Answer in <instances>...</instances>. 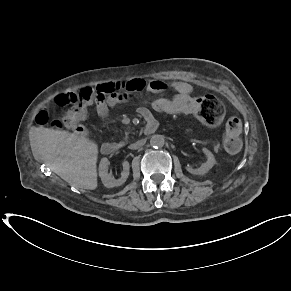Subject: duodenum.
Returning a JSON list of instances; mask_svg holds the SVG:
<instances>
[{
  "label": "duodenum",
  "mask_w": 291,
  "mask_h": 291,
  "mask_svg": "<svg viewBox=\"0 0 291 291\" xmlns=\"http://www.w3.org/2000/svg\"><path fill=\"white\" fill-rule=\"evenodd\" d=\"M157 123L154 120V118L149 117L147 119V124L145 127V132L146 133H153L156 129ZM118 149V146L114 143L106 142L101 146V152L104 155H110L113 154L116 150Z\"/></svg>",
  "instance_id": "obj_1"
}]
</instances>
